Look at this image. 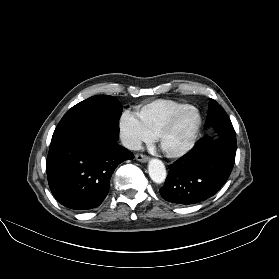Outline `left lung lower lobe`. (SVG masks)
Here are the masks:
<instances>
[{
    "label": "left lung lower lobe",
    "instance_id": "1",
    "mask_svg": "<svg viewBox=\"0 0 279 279\" xmlns=\"http://www.w3.org/2000/svg\"><path fill=\"white\" fill-rule=\"evenodd\" d=\"M228 127L218 140L200 139L192 150L170 165L164 186L159 190L166 201L195 204L218 192L235 161L236 135Z\"/></svg>",
    "mask_w": 279,
    "mask_h": 279
}]
</instances>
